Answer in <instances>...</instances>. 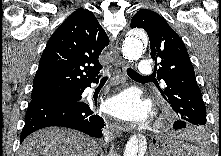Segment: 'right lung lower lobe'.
Instances as JSON below:
<instances>
[{
    "label": "right lung lower lobe",
    "instance_id": "obj_1",
    "mask_svg": "<svg viewBox=\"0 0 221 156\" xmlns=\"http://www.w3.org/2000/svg\"><path fill=\"white\" fill-rule=\"evenodd\" d=\"M93 82L97 83L98 79ZM91 83L79 91L80 98L76 100H32L25 116L20 143L32 132L50 126L72 128L92 137H102L103 118L94 112L92 105L81 98L83 91Z\"/></svg>",
    "mask_w": 221,
    "mask_h": 156
}]
</instances>
